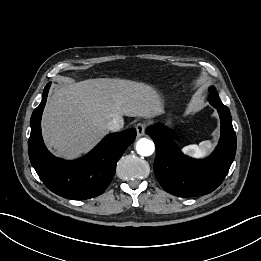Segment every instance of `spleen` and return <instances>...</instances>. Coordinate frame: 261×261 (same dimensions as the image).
Instances as JSON below:
<instances>
[{
	"label": "spleen",
	"instance_id": "3e777b00",
	"mask_svg": "<svg viewBox=\"0 0 261 261\" xmlns=\"http://www.w3.org/2000/svg\"><path fill=\"white\" fill-rule=\"evenodd\" d=\"M212 147L211 141H203L199 145L193 144L182 148V152L190 157L202 158L206 156Z\"/></svg>",
	"mask_w": 261,
	"mask_h": 261
}]
</instances>
